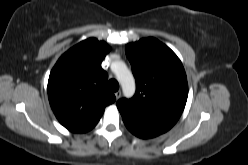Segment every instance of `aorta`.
Wrapping results in <instances>:
<instances>
[{"label":"aorta","instance_id":"aorta-1","mask_svg":"<svg viewBox=\"0 0 248 165\" xmlns=\"http://www.w3.org/2000/svg\"><path fill=\"white\" fill-rule=\"evenodd\" d=\"M111 69L116 74L124 95L126 97L133 96L135 93V79L126 64L122 61H117L112 63Z\"/></svg>","mask_w":248,"mask_h":165}]
</instances>
